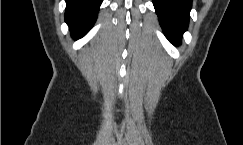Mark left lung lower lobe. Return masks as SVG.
<instances>
[{
	"label": "left lung lower lobe",
	"instance_id": "left-lung-lower-lobe-1",
	"mask_svg": "<svg viewBox=\"0 0 243 145\" xmlns=\"http://www.w3.org/2000/svg\"><path fill=\"white\" fill-rule=\"evenodd\" d=\"M153 4L167 39L174 45L180 44L188 27L192 0H153Z\"/></svg>",
	"mask_w": 243,
	"mask_h": 145
}]
</instances>
